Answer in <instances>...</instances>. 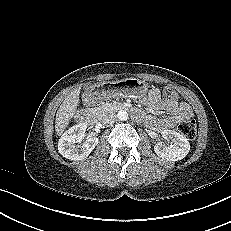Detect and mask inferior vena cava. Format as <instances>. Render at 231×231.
Wrapping results in <instances>:
<instances>
[{"label": "inferior vena cava", "instance_id": "602c4592", "mask_svg": "<svg viewBox=\"0 0 231 231\" xmlns=\"http://www.w3.org/2000/svg\"><path fill=\"white\" fill-rule=\"evenodd\" d=\"M116 118V114L107 113L102 117V123L107 126L112 125L115 122Z\"/></svg>", "mask_w": 231, "mask_h": 231}]
</instances>
